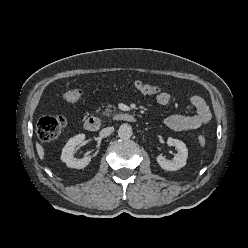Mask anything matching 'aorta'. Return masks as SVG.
I'll list each match as a JSON object with an SVG mask.
<instances>
[{
    "instance_id": "obj_1",
    "label": "aorta",
    "mask_w": 248,
    "mask_h": 248,
    "mask_svg": "<svg viewBox=\"0 0 248 248\" xmlns=\"http://www.w3.org/2000/svg\"><path fill=\"white\" fill-rule=\"evenodd\" d=\"M132 133H133L132 127L127 123L122 124L118 129V136L123 140L130 139Z\"/></svg>"
}]
</instances>
